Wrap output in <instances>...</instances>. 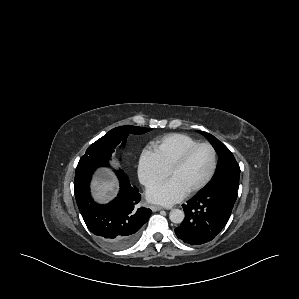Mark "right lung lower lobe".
I'll list each match as a JSON object with an SVG mask.
<instances>
[{
  "label": "right lung lower lobe",
  "instance_id": "1",
  "mask_svg": "<svg viewBox=\"0 0 299 299\" xmlns=\"http://www.w3.org/2000/svg\"><path fill=\"white\" fill-rule=\"evenodd\" d=\"M102 166H108V162L92 160L78 163L74 180L76 202L85 224L93 234L112 249H125L136 241L140 228L152 211L138 207L141 195L122 170L116 172L120 182L117 197L106 205L95 203L89 185L93 172Z\"/></svg>",
  "mask_w": 299,
  "mask_h": 299
}]
</instances>
